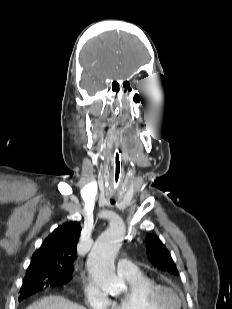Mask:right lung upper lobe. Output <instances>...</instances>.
<instances>
[{"label":"right lung upper lobe","instance_id":"cb5924a9","mask_svg":"<svg viewBox=\"0 0 232 309\" xmlns=\"http://www.w3.org/2000/svg\"><path fill=\"white\" fill-rule=\"evenodd\" d=\"M81 227L70 221L55 229L35 251L26 275L52 272L71 277Z\"/></svg>","mask_w":232,"mask_h":309}]
</instances>
